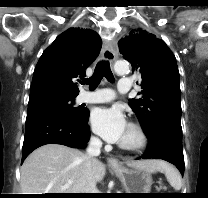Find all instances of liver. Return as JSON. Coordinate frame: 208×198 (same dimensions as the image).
I'll return each instance as SVG.
<instances>
[{
	"label": "liver",
	"instance_id": "6515ba94",
	"mask_svg": "<svg viewBox=\"0 0 208 198\" xmlns=\"http://www.w3.org/2000/svg\"><path fill=\"white\" fill-rule=\"evenodd\" d=\"M162 161H128L132 168L149 173L162 170ZM105 165L96 159L92 163L95 182L103 180ZM68 181L72 184L63 188ZM85 154L60 144H47L32 152L21 167L20 187L22 194L85 193Z\"/></svg>",
	"mask_w": 208,
	"mask_h": 198
}]
</instances>
